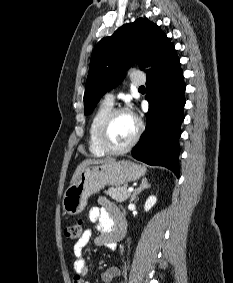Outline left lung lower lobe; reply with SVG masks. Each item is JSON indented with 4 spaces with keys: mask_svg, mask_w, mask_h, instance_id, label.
<instances>
[{
    "mask_svg": "<svg viewBox=\"0 0 233 283\" xmlns=\"http://www.w3.org/2000/svg\"><path fill=\"white\" fill-rule=\"evenodd\" d=\"M146 86L151 119L132 156L149 165L167 167L179 178L178 139L184 120L186 86L174 46L147 73Z\"/></svg>",
    "mask_w": 233,
    "mask_h": 283,
    "instance_id": "0a47b994",
    "label": "left lung lower lobe"
}]
</instances>
